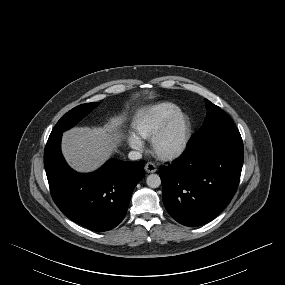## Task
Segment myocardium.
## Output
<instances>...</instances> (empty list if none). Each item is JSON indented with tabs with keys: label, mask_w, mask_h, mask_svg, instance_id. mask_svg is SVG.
I'll return each mask as SVG.
<instances>
[{
	"label": "myocardium",
	"mask_w": 285,
	"mask_h": 285,
	"mask_svg": "<svg viewBox=\"0 0 285 285\" xmlns=\"http://www.w3.org/2000/svg\"><path fill=\"white\" fill-rule=\"evenodd\" d=\"M183 120L184 130L179 143L172 149H164L161 142L169 132L172 125L177 120ZM192 134V124L189 116L183 112L178 111L171 115L161 125V127L151 137V148L153 153L163 160H174L179 158L187 149Z\"/></svg>",
	"instance_id": "obj_1"
}]
</instances>
